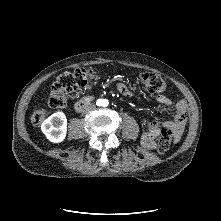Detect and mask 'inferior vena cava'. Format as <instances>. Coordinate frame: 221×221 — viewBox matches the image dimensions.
<instances>
[{"label": "inferior vena cava", "mask_w": 221, "mask_h": 221, "mask_svg": "<svg viewBox=\"0 0 221 221\" xmlns=\"http://www.w3.org/2000/svg\"><path fill=\"white\" fill-rule=\"evenodd\" d=\"M95 107H96L95 104H89L86 106L85 111L89 112V111L95 109Z\"/></svg>", "instance_id": "obj_1"}]
</instances>
